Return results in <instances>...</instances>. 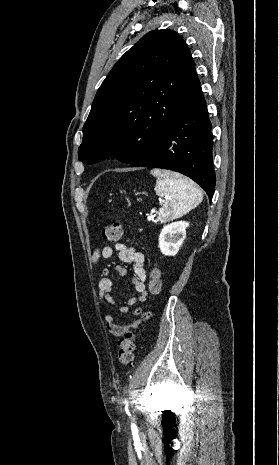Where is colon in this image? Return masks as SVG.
<instances>
[{
  "mask_svg": "<svg viewBox=\"0 0 279 465\" xmlns=\"http://www.w3.org/2000/svg\"><path fill=\"white\" fill-rule=\"evenodd\" d=\"M123 235V226L119 220L113 221L111 224L106 226L102 231V237L110 242H116L121 239ZM148 288L151 294L155 295L159 293L161 289L160 272L158 269H153L150 272V279ZM142 317L147 320L149 317L148 312H143ZM135 339L136 335L132 332H128L119 342L118 349V361L123 366H129L134 360L135 351Z\"/></svg>",
  "mask_w": 279,
  "mask_h": 465,
  "instance_id": "1",
  "label": "colon"
}]
</instances>
